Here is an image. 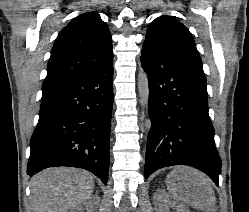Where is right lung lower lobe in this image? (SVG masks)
<instances>
[{
  "label": "right lung lower lobe",
  "mask_w": 249,
  "mask_h": 212,
  "mask_svg": "<svg viewBox=\"0 0 249 212\" xmlns=\"http://www.w3.org/2000/svg\"><path fill=\"white\" fill-rule=\"evenodd\" d=\"M27 174L52 166L86 169L108 180L113 106V59L99 68L42 88Z\"/></svg>",
  "instance_id": "right-lung-lower-lobe-1"
}]
</instances>
